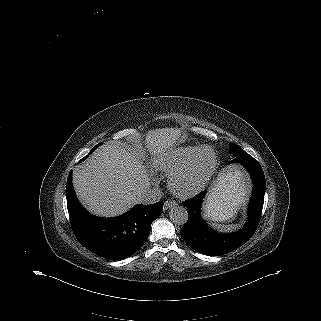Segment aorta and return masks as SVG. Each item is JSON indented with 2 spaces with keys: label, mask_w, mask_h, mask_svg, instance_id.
<instances>
[{
  "label": "aorta",
  "mask_w": 321,
  "mask_h": 321,
  "mask_svg": "<svg viewBox=\"0 0 321 321\" xmlns=\"http://www.w3.org/2000/svg\"><path fill=\"white\" fill-rule=\"evenodd\" d=\"M170 220L175 224L182 226L188 221V212L185 207L176 205L169 212Z\"/></svg>",
  "instance_id": "762f6f07"
}]
</instances>
